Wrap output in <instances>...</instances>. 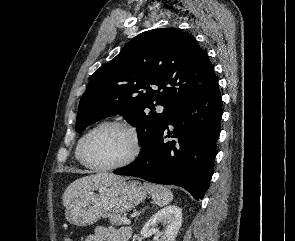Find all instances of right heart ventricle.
<instances>
[{
	"label": "right heart ventricle",
	"instance_id": "1",
	"mask_svg": "<svg viewBox=\"0 0 295 241\" xmlns=\"http://www.w3.org/2000/svg\"><path fill=\"white\" fill-rule=\"evenodd\" d=\"M89 131H87L86 133H84L78 140L77 142V145H76V148H75V158L78 162L81 163V160H80V148H81V145H82V142L84 140V138L86 137V135L88 134Z\"/></svg>",
	"mask_w": 295,
	"mask_h": 241
}]
</instances>
